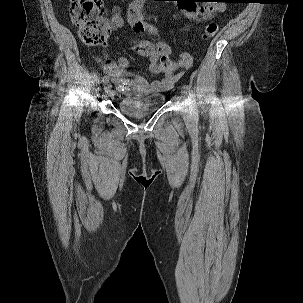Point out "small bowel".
Returning a JSON list of instances; mask_svg holds the SVG:
<instances>
[{
	"label": "small bowel",
	"mask_w": 303,
	"mask_h": 303,
	"mask_svg": "<svg viewBox=\"0 0 303 303\" xmlns=\"http://www.w3.org/2000/svg\"><path fill=\"white\" fill-rule=\"evenodd\" d=\"M209 3L199 5L196 1H185L180 5L184 15L190 21H205L212 19L217 13L224 10L225 6L222 0H209ZM145 0H132L127 9V20L134 34L147 32L154 37L153 40L133 39L134 49L148 58L150 62V72L161 75L158 80L148 81L140 75L130 72V61L126 55L121 56L114 61L105 53L97 62L102 69L109 74L119 90L127 92L132 88L134 91L142 94L156 91L168 90L176 81L177 75L171 68L164 67L160 64L159 59L162 54L170 53L169 46L158 38L157 29L147 23L144 18ZM124 19L120 6H115L110 18V28L116 30L122 27Z\"/></svg>",
	"instance_id": "1"
}]
</instances>
